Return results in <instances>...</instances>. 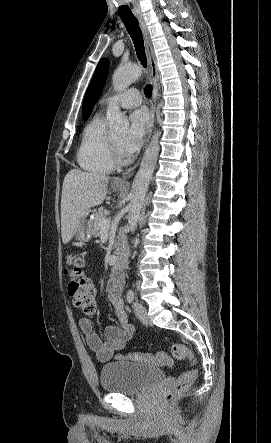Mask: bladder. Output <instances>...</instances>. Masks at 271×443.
Listing matches in <instances>:
<instances>
[{
  "mask_svg": "<svg viewBox=\"0 0 271 443\" xmlns=\"http://www.w3.org/2000/svg\"><path fill=\"white\" fill-rule=\"evenodd\" d=\"M164 377L161 369L135 362L116 361L103 365L100 371L102 388L113 394H136L158 384Z\"/></svg>",
  "mask_w": 271,
  "mask_h": 443,
  "instance_id": "1",
  "label": "bladder"
}]
</instances>
